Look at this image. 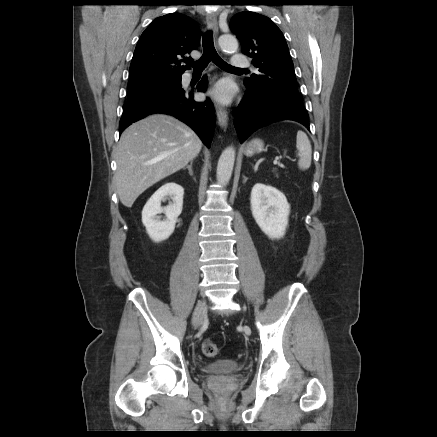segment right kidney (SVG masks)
I'll list each match as a JSON object with an SVG mask.
<instances>
[{
	"mask_svg": "<svg viewBox=\"0 0 437 437\" xmlns=\"http://www.w3.org/2000/svg\"><path fill=\"white\" fill-rule=\"evenodd\" d=\"M184 189L179 184L169 182L161 186L147 201L142 210V223L154 242H161L174 232L178 216L183 208ZM170 198L172 202L162 207L161 201ZM164 213L165 219L158 215Z\"/></svg>",
	"mask_w": 437,
	"mask_h": 437,
	"instance_id": "ca27d5eb",
	"label": "right kidney"
}]
</instances>
